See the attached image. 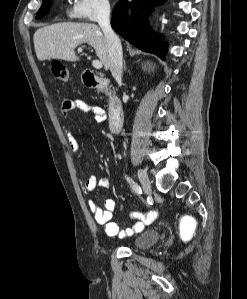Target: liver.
I'll list each match as a JSON object with an SVG mask.
<instances>
[{
  "instance_id": "1",
  "label": "liver",
  "mask_w": 247,
  "mask_h": 299,
  "mask_svg": "<svg viewBox=\"0 0 247 299\" xmlns=\"http://www.w3.org/2000/svg\"><path fill=\"white\" fill-rule=\"evenodd\" d=\"M39 61L61 59L75 62V48L87 43L95 49L105 70L110 68L108 43L101 29L93 23L63 22L39 28L33 37Z\"/></svg>"
}]
</instances>
